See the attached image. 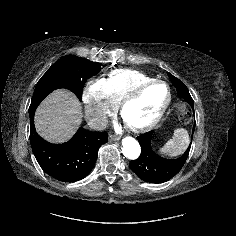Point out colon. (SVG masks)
<instances>
[{"label": "colon", "mask_w": 236, "mask_h": 236, "mask_svg": "<svg viewBox=\"0 0 236 236\" xmlns=\"http://www.w3.org/2000/svg\"><path fill=\"white\" fill-rule=\"evenodd\" d=\"M178 112H179V119L183 124H188L191 121V114L186 108V105L184 103L178 104Z\"/></svg>", "instance_id": "1"}]
</instances>
